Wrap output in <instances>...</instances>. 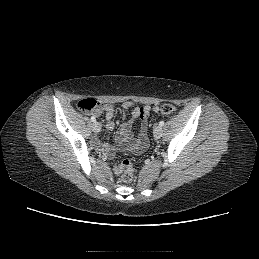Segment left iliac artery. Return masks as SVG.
I'll return each mask as SVG.
<instances>
[{
  "mask_svg": "<svg viewBox=\"0 0 259 259\" xmlns=\"http://www.w3.org/2000/svg\"><path fill=\"white\" fill-rule=\"evenodd\" d=\"M163 125H164V121H160V122H159V126L162 127Z\"/></svg>",
  "mask_w": 259,
  "mask_h": 259,
  "instance_id": "obj_1",
  "label": "left iliac artery"
}]
</instances>
